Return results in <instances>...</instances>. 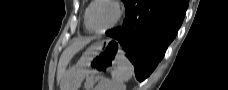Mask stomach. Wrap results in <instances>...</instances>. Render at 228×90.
Instances as JSON below:
<instances>
[{"label": "stomach", "mask_w": 228, "mask_h": 90, "mask_svg": "<svg viewBox=\"0 0 228 90\" xmlns=\"http://www.w3.org/2000/svg\"><path fill=\"white\" fill-rule=\"evenodd\" d=\"M120 47L115 41H100L90 46L64 76L63 90H78L86 76L116 64Z\"/></svg>", "instance_id": "obj_1"}]
</instances>
